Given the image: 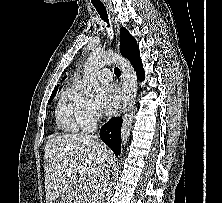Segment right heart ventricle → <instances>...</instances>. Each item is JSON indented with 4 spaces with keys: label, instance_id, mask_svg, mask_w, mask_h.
<instances>
[{
    "label": "right heart ventricle",
    "instance_id": "e07e8e85",
    "mask_svg": "<svg viewBox=\"0 0 222 203\" xmlns=\"http://www.w3.org/2000/svg\"><path fill=\"white\" fill-rule=\"evenodd\" d=\"M69 98L70 92L68 90H64L61 93L57 105L56 119L64 129L76 131L79 128V124L74 113L73 104L69 102Z\"/></svg>",
    "mask_w": 222,
    "mask_h": 203
}]
</instances>
